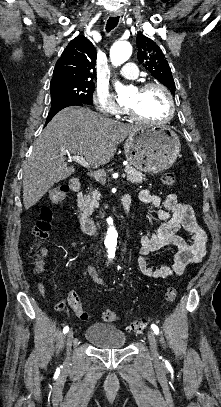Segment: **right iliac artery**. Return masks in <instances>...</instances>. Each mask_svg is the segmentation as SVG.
Instances as JSON below:
<instances>
[{
	"instance_id": "obj_1",
	"label": "right iliac artery",
	"mask_w": 221,
	"mask_h": 407,
	"mask_svg": "<svg viewBox=\"0 0 221 407\" xmlns=\"http://www.w3.org/2000/svg\"><path fill=\"white\" fill-rule=\"evenodd\" d=\"M68 331H69V327L65 326L64 329H63V333L66 334Z\"/></svg>"
}]
</instances>
